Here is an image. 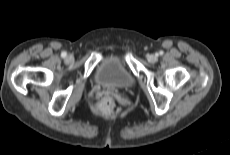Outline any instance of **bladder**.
Wrapping results in <instances>:
<instances>
[{"instance_id":"1","label":"bladder","mask_w":230,"mask_h":155,"mask_svg":"<svg viewBox=\"0 0 230 155\" xmlns=\"http://www.w3.org/2000/svg\"><path fill=\"white\" fill-rule=\"evenodd\" d=\"M95 80L101 86L115 89H128L135 84L134 75L116 55H109L100 61Z\"/></svg>"}]
</instances>
